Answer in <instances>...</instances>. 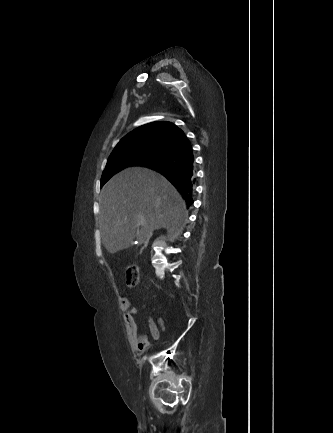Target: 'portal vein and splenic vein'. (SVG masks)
<instances>
[{
  "mask_svg": "<svg viewBox=\"0 0 333 433\" xmlns=\"http://www.w3.org/2000/svg\"><path fill=\"white\" fill-rule=\"evenodd\" d=\"M139 223H140V224H143V223H144V220H140Z\"/></svg>",
  "mask_w": 333,
  "mask_h": 433,
  "instance_id": "obj_1",
  "label": "portal vein and splenic vein"
}]
</instances>
